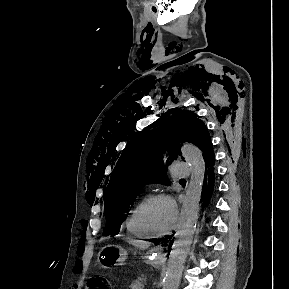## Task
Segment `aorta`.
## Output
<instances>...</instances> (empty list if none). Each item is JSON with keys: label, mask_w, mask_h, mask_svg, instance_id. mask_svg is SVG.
I'll use <instances>...</instances> for the list:
<instances>
[{"label": "aorta", "mask_w": 289, "mask_h": 289, "mask_svg": "<svg viewBox=\"0 0 289 289\" xmlns=\"http://www.w3.org/2000/svg\"><path fill=\"white\" fill-rule=\"evenodd\" d=\"M181 153L190 166L191 178L187 185L179 226L169 255L163 289H178L179 287L198 220L199 203L204 181L205 161L198 147L185 143L181 148Z\"/></svg>", "instance_id": "obj_1"}]
</instances>
